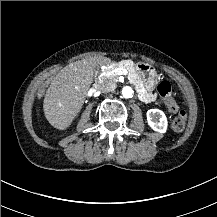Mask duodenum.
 I'll return each mask as SVG.
<instances>
[{"label": "duodenum", "instance_id": "1", "mask_svg": "<svg viewBox=\"0 0 217 217\" xmlns=\"http://www.w3.org/2000/svg\"><path fill=\"white\" fill-rule=\"evenodd\" d=\"M106 64L107 65H112V64H114L112 61H108V62H106Z\"/></svg>", "mask_w": 217, "mask_h": 217}]
</instances>
